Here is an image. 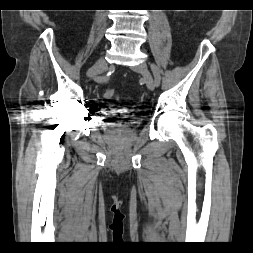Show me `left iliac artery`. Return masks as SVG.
<instances>
[{
  "instance_id": "obj_1",
  "label": "left iliac artery",
  "mask_w": 253,
  "mask_h": 253,
  "mask_svg": "<svg viewBox=\"0 0 253 253\" xmlns=\"http://www.w3.org/2000/svg\"><path fill=\"white\" fill-rule=\"evenodd\" d=\"M151 70H152L153 75H154L155 86H159L160 81H161V76H160L159 69L157 68V66L155 64H151Z\"/></svg>"
}]
</instances>
